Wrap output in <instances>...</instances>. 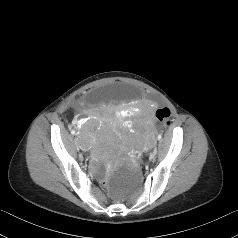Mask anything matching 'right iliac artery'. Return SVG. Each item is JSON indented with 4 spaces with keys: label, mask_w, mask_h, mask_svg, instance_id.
Segmentation results:
<instances>
[{
    "label": "right iliac artery",
    "mask_w": 238,
    "mask_h": 238,
    "mask_svg": "<svg viewBox=\"0 0 238 238\" xmlns=\"http://www.w3.org/2000/svg\"><path fill=\"white\" fill-rule=\"evenodd\" d=\"M71 134L74 135L75 134V130L72 129L71 130Z\"/></svg>",
    "instance_id": "right-iliac-artery-1"
}]
</instances>
